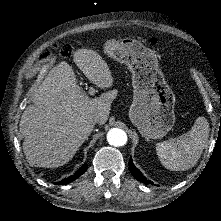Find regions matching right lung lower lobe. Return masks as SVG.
I'll use <instances>...</instances> for the list:
<instances>
[{
    "instance_id": "1",
    "label": "right lung lower lobe",
    "mask_w": 221,
    "mask_h": 221,
    "mask_svg": "<svg viewBox=\"0 0 221 221\" xmlns=\"http://www.w3.org/2000/svg\"><path fill=\"white\" fill-rule=\"evenodd\" d=\"M86 170H87V165H84L80 169H78L77 172L73 176L65 178L61 180L60 182H57L56 184L57 185L69 184L70 182L76 180L79 176H81Z\"/></svg>"
}]
</instances>
